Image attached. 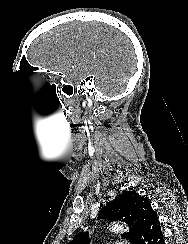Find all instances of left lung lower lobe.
Masks as SVG:
<instances>
[{
	"label": "left lung lower lobe",
	"mask_w": 188,
	"mask_h": 244,
	"mask_svg": "<svg viewBox=\"0 0 188 244\" xmlns=\"http://www.w3.org/2000/svg\"><path fill=\"white\" fill-rule=\"evenodd\" d=\"M141 244H164L163 233L156 212L149 216Z\"/></svg>",
	"instance_id": "1"
}]
</instances>
